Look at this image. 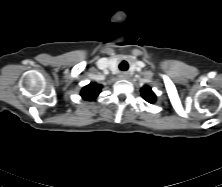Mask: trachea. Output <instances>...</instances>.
<instances>
[{
	"instance_id": "trachea-1",
	"label": "trachea",
	"mask_w": 222,
	"mask_h": 187,
	"mask_svg": "<svg viewBox=\"0 0 222 187\" xmlns=\"http://www.w3.org/2000/svg\"><path fill=\"white\" fill-rule=\"evenodd\" d=\"M123 66H127V63H126V62H122V63L120 64V66H119V68H120L121 70L125 71L126 69L123 68Z\"/></svg>"
}]
</instances>
